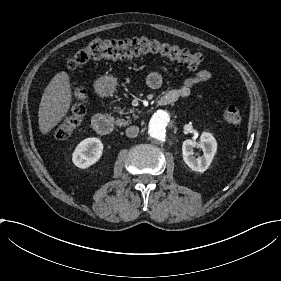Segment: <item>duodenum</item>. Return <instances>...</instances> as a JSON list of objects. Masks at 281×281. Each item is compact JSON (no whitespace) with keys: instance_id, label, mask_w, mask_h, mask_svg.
Returning a JSON list of instances; mask_svg holds the SVG:
<instances>
[{"instance_id":"1","label":"duodenum","mask_w":281,"mask_h":281,"mask_svg":"<svg viewBox=\"0 0 281 281\" xmlns=\"http://www.w3.org/2000/svg\"><path fill=\"white\" fill-rule=\"evenodd\" d=\"M158 103L160 105H166L167 101L162 97L159 99ZM93 127L101 135L111 134L114 130L113 119L105 114H97L92 120Z\"/></svg>"}]
</instances>
